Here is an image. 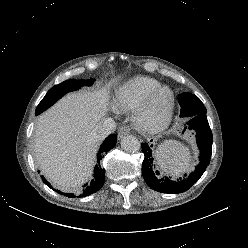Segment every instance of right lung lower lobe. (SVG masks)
Returning <instances> with one entry per match:
<instances>
[{"label": "right lung lower lobe", "instance_id": "right-lung-lower-lobe-1", "mask_svg": "<svg viewBox=\"0 0 248 248\" xmlns=\"http://www.w3.org/2000/svg\"><path fill=\"white\" fill-rule=\"evenodd\" d=\"M116 142H117V136L115 134H111L105 139L103 144L100 146V149L97 154L98 164L96 165L95 170H94V178L91 180L90 183H86L84 185L83 190L81 191L80 195L77 197L89 196L97 192L103 186L105 182V169H102L100 167V160L102 156L104 155V153H107L109 150H111L115 146ZM42 180L48 187L52 188L51 185L47 182V180L43 176H42ZM57 192L67 197H75L74 194H70V193L65 194L60 191H57Z\"/></svg>", "mask_w": 248, "mask_h": 248}]
</instances>
